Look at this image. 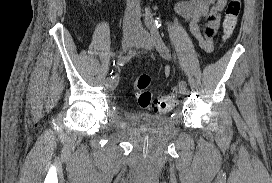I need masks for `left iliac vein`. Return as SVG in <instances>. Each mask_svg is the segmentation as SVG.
I'll list each match as a JSON object with an SVG mask.
<instances>
[{
	"mask_svg": "<svg viewBox=\"0 0 272 183\" xmlns=\"http://www.w3.org/2000/svg\"><path fill=\"white\" fill-rule=\"evenodd\" d=\"M136 46L137 47H143L148 50H152L155 46V42L153 38L150 36L148 32L145 30L141 29L140 32L137 35V41H136ZM180 94L186 95L188 94L187 88H180L179 90Z\"/></svg>",
	"mask_w": 272,
	"mask_h": 183,
	"instance_id": "4c4485c4",
	"label": "left iliac vein"
}]
</instances>
